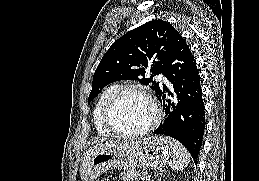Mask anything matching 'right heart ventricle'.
<instances>
[{
    "instance_id": "1",
    "label": "right heart ventricle",
    "mask_w": 259,
    "mask_h": 181,
    "mask_svg": "<svg viewBox=\"0 0 259 181\" xmlns=\"http://www.w3.org/2000/svg\"><path fill=\"white\" fill-rule=\"evenodd\" d=\"M115 88V85L105 88L98 96L92 111L93 124L96 132L100 136L109 137L113 135L103 122V110L109 96L115 90Z\"/></svg>"
}]
</instances>
